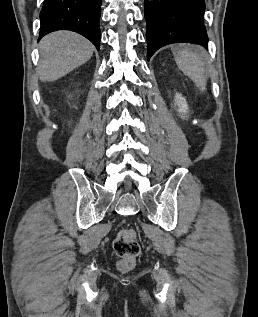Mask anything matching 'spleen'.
I'll return each instance as SVG.
<instances>
[{"label":"spleen","instance_id":"3e777b00","mask_svg":"<svg viewBox=\"0 0 258 317\" xmlns=\"http://www.w3.org/2000/svg\"><path fill=\"white\" fill-rule=\"evenodd\" d=\"M178 68L189 76L200 90H206V68L205 62L198 50L195 48H172Z\"/></svg>","mask_w":258,"mask_h":317}]
</instances>
